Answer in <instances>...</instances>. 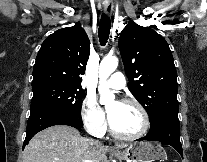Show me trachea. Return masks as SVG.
<instances>
[{"label":"trachea","instance_id":"3493384b","mask_svg":"<svg viewBox=\"0 0 207 162\" xmlns=\"http://www.w3.org/2000/svg\"><path fill=\"white\" fill-rule=\"evenodd\" d=\"M110 26V19L103 14L99 24V41L102 46L106 44L109 38Z\"/></svg>","mask_w":207,"mask_h":162}]
</instances>
